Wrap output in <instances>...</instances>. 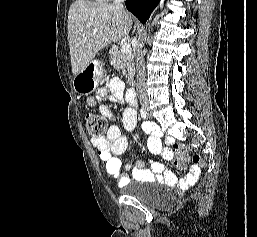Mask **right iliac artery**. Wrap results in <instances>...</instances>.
I'll list each match as a JSON object with an SVG mask.
<instances>
[{
  "mask_svg": "<svg viewBox=\"0 0 257 237\" xmlns=\"http://www.w3.org/2000/svg\"><path fill=\"white\" fill-rule=\"evenodd\" d=\"M140 114L143 119H147V111L144 108L140 109Z\"/></svg>",
  "mask_w": 257,
  "mask_h": 237,
  "instance_id": "82829eb1",
  "label": "right iliac artery"
}]
</instances>
